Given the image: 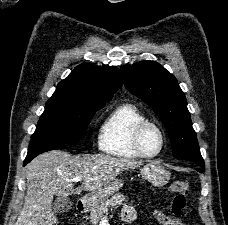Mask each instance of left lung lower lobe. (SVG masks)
Listing matches in <instances>:
<instances>
[{
	"mask_svg": "<svg viewBox=\"0 0 228 225\" xmlns=\"http://www.w3.org/2000/svg\"><path fill=\"white\" fill-rule=\"evenodd\" d=\"M196 170L202 172V169L200 167H197Z\"/></svg>",
	"mask_w": 228,
	"mask_h": 225,
	"instance_id": "0a47b994",
	"label": "left lung lower lobe"
}]
</instances>
